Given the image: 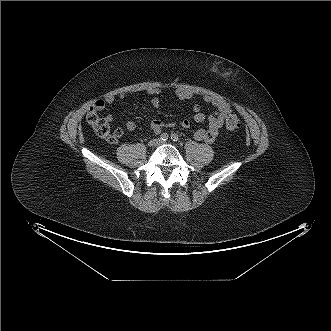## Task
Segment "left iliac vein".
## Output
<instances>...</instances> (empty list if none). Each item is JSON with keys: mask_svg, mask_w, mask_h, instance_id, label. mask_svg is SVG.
Listing matches in <instances>:
<instances>
[{"mask_svg": "<svg viewBox=\"0 0 331 331\" xmlns=\"http://www.w3.org/2000/svg\"><path fill=\"white\" fill-rule=\"evenodd\" d=\"M164 143H165V142H161V141L159 142V144H164Z\"/></svg>", "mask_w": 331, "mask_h": 331, "instance_id": "left-iliac-vein-1", "label": "left iliac vein"}]
</instances>
